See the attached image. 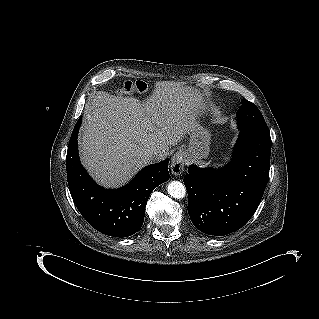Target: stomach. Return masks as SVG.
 I'll return each mask as SVG.
<instances>
[{
  "label": "stomach",
  "instance_id": "stomach-1",
  "mask_svg": "<svg viewBox=\"0 0 319 319\" xmlns=\"http://www.w3.org/2000/svg\"><path fill=\"white\" fill-rule=\"evenodd\" d=\"M210 133L201 125H197L189 134L188 144L183 148L186 162H197L207 158L210 151Z\"/></svg>",
  "mask_w": 319,
  "mask_h": 319
}]
</instances>
